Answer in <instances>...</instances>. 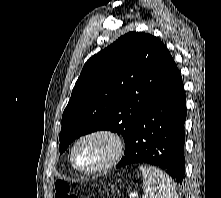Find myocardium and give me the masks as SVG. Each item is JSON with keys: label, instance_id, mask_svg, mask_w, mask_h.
<instances>
[{"label": "myocardium", "instance_id": "1", "mask_svg": "<svg viewBox=\"0 0 221 198\" xmlns=\"http://www.w3.org/2000/svg\"><path fill=\"white\" fill-rule=\"evenodd\" d=\"M91 138H104L108 140L111 144L112 150L110 155L107 157V159L99 166L94 168H82L78 166L75 162V151L81 142ZM124 149H125L124 141L117 132L104 128L94 129L87 131L76 138L70 150V162L73 168L82 174H87V175L98 174L113 167L121 159L124 153Z\"/></svg>", "mask_w": 221, "mask_h": 198}]
</instances>
